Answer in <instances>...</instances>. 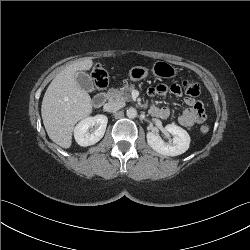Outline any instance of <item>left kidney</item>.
I'll use <instances>...</instances> for the list:
<instances>
[{"mask_svg":"<svg viewBox=\"0 0 250 250\" xmlns=\"http://www.w3.org/2000/svg\"><path fill=\"white\" fill-rule=\"evenodd\" d=\"M165 130L173 135L171 142H165L158 133H147V143L153 150L165 156H178L188 150L190 136L183 128L168 124Z\"/></svg>","mask_w":250,"mask_h":250,"instance_id":"5707ae66","label":"left kidney"}]
</instances>
